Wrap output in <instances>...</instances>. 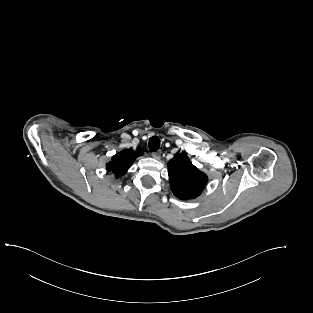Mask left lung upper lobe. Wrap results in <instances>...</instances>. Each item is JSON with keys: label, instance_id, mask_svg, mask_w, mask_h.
<instances>
[{"label": "left lung upper lobe", "instance_id": "obj_1", "mask_svg": "<svg viewBox=\"0 0 313 313\" xmlns=\"http://www.w3.org/2000/svg\"><path fill=\"white\" fill-rule=\"evenodd\" d=\"M168 175L173 194L182 200L198 197L208 181L185 154H177L168 162Z\"/></svg>", "mask_w": 313, "mask_h": 313}]
</instances>
